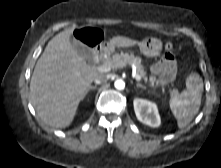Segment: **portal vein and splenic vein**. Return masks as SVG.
<instances>
[{
	"label": "portal vein and splenic vein",
	"instance_id": "portal-vein-and-splenic-vein-1",
	"mask_svg": "<svg viewBox=\"0 0 221 168\" xmlns=\"http://www.w3.org/2000/svg\"><path fill=\"white\" fill-rule=\"evenodd\" d=\"M125 66V65H124ZM114 68L110 65H101V66H98L97 67V70L100 71V72H103V73H106V72H109L111 71V69ZM133 78H135L137 81H140L141 78L139 75L136 74V72H133L132 74Z\"/></svg>",
	"mask_w": 221,
	"mask_h": 168
}]
</instances>
